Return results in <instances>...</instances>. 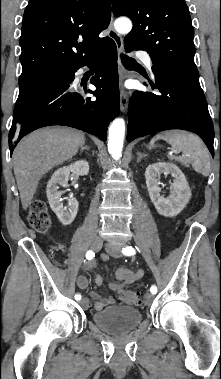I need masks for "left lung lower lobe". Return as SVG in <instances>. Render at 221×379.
I'll return each instance as SVG.
<instances>
[{"label":"left lung lower lobe","mask_w":221,"mask_h":379,"mask_svg":"<svg viewBox=\"0 0 221 379\" xmlns=\"http://www.w3.org/2000/svg\"><path fill=\"white\" fill-rule=\"evenodd\" d=\"M127 52L133 49L125 43ZM159 93L135 91L130 99L127 140L169 129L198 134L214 155V129L199 77L152 66Z\"/></svg>","instance_id":"left-lung-lower-lobe-1"}]
</instances>
